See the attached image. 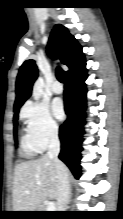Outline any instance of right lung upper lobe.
Masks as SVG:
<instances>
[{
	"instance_id": "right-lung-upper-lobe-1",
	"label": "right lung upper lobe",
	"mask_w": 123,
	"mask_h": 219,
	"mask_svg": "<svg viewBox=\"0 0 123 219\" xmlns=\"http://www.w3.org/2000/svg\"><path fill=\"white\" fill-rule=\"evenodd\" d=\"M47 53L51 58H60L61 62L69 67L66 76L85 62L81 46L61 24L55 25L52 30ZM37 76L38 70L34 60L25 61L16 80L14 111H19L23 103L30 97L32 85Z\"/></svg>"
}]
</instances>
